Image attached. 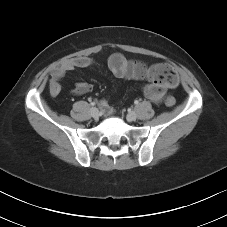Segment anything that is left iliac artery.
<instances>
[{"instance_id":"1","label":"left iliac artery","mask_w":227,"mask_h":227,"mask_svg":"<svg viewBox=\"0 0 227 227\" xmlns=\"http://www.w3.org/2000/svg\"><path fill=\"white\" fill-rule=\"evenodd\" d=\"M139 102L137 100L134 101V104L137 105Z\"/></svg>"}]
</instances>
